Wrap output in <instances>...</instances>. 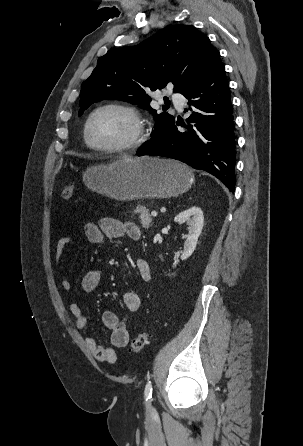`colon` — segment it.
I'll list each match as a JSON object with an SVG mask.
<instances>
[{
    "mask_svg": "<svg viewBox=\"0 0 303 446\" xmlns=\"http://www.w3.org/2000/svg\"><path fill=\"white\" fill-rule=\"evenodd\" d=\"M61 196L65 201H70L74 196V186L70 183L64 184L61 191ZM147 342H148L147 333L145 331H140L131 340L128 350L132 354H137L145 347Z\"/></svg>",
    "mask_w": 303,
    "mask_h": 446,
    "instance_id": "5ec220e1",
    "label": "colon"
}]
</instances>
